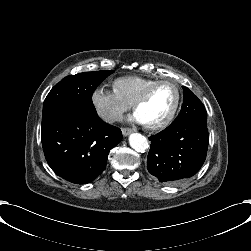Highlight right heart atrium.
<instances>
[{
    "mask_svg": "<svg viewBox=\"0 0 251 251\" xmlns=\"http://www.w3.org/2000/svg\"><path fill=\"white\" fill-rule=\"evenodd\" d=\"M91 105L96 114L106 123L118 121L132 105L123 101L113 90L94 89L90 94Z\"/></svg>",
    "mask_w": 251,
    "mask_h": 251,
    "instance_id": "obj_1",
    "label": "right heart atrium"
}]
</instances>
